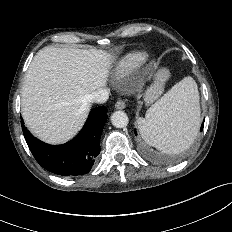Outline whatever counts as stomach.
I'll return each mask as SVG.
<instances>
[{
	"mask_svg": "<svg viewBox=\"0 0 232 232\" xmlns=\"http://www.w3.org/2000/svg\"><path fill=\"white\" fill-rule=\"evenodd\" d=\"M168 76L169 72L165 68L160 69L156 73L153 84L147 88L143 95L144 101L147 105L154 103L161 96L164 90V83Z\"/></svg>",
	"mask_w": 232,
	"mask_h": 232,
	"instance_id": "0dacf381",
	"label": "stomach"
}]
</instances>
